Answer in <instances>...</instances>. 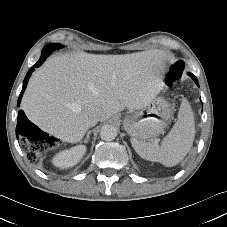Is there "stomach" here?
I'll use <instances>...</instances> for the list:
<instances>
[{
    "instance_id": "obj_1",
    "label": "stomach",
    "mask_w": 227,
    "mask_h": 227,
    "mask_svg": "<svg viewBox=\"0 0 227 227\" xmlns=\"http://www.w3.org/2000/svg\"><path fill=\"white\" fill-rule=\"evenodd\" d=\"M171 118L170 104L164 98L156 97L143 109L127 116L123 126L132 139L145 141L163 133Z\"/></svg>"
}]
</instances>
